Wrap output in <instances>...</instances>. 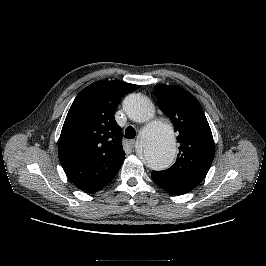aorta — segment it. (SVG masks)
I'll return each instance as SVG.
<instances>
[{"label":"aorta","mask_w":266,"mask_h":266,"mask_svg":"<svg viewBox=\"0 0 266 266\" xmlns=\"http://www.w3.org/2000/svg\"><path fill=\"white\" fill-rule=\"evenodd\" d=\"M127 116L134 122L146 123L154 114L153 104L140 94L127 96L123 103ZM141 156L152 170L171 166L176 156V140L171 125L163 122L147 124L140 134Z\"/></svg>","instance_id":"aorta-1"}]
</instances>
